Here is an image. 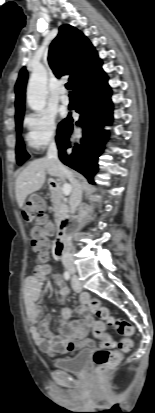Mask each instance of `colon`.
Returning <instances> with one entry per match:
<instances>
[{
    "label": "colon",
    "instance_id": "colon-1",
    "mask_svg": "<svg viewBox=\"0 0 155 413\" xmlns=\"http://www.w3.org/2000/svg\"><path fill=\"white\" fill-rule=\"evenodd\" d=\"M43 199L44 194L42 192H33L31 197L26 199L27 206L22 210L24 220L31 226L32 248L40 259H44L50 249L49 239L43 229V225L47 221L42 202ZM89 306L92 313L98 319L110 323L119 334L124 335V338L118 344V348L110 349L107 347L109 346L108 340L98 330L102 346L94 353L93 360L99 373L104 374L114 369L120 363L123 353L131 350L132 341L130 336L133 334L134 329L126 319L111 316L108 308L99 299H90Z\"/></svg>",
    "mask_w": 155,
    "mask_h": 413
}]
</instances>
